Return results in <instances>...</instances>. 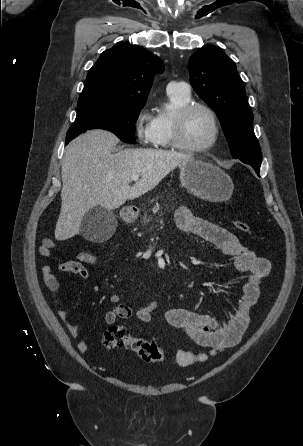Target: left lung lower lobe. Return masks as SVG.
<instances>
[{
    "instance_id": "0a47b994",
    "label": "left lung lower lobe",
    "mask_w": 303,
    "mask_h": 446,
    "mask_svg": "<svg viewBox=\"0 0 303 446\" xmlns=\"http://www.w3.org/2000/svg\"><path fill=\"white\" fill-rule=\"evenodd\" d=\"M256 171V173L259 175V170H255Z\"/></svg>"
}]
</instances>
